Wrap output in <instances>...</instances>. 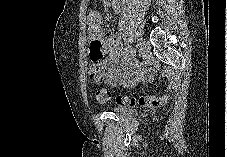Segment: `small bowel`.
Returning a JSON list of instances; mask_svg holds the SVG:
<instances>
[{"mask_svg": "<svg viewBox=\"0 0 227 157\" xmlns=\"http://www.w3.org/2000/svg\"><path fill=\"white\" fill-rule=\"evenodd\" d=\"M108 3L115 10L119 9V0H108ZM87 23L91 40L88 57L92 58V62H101V58H104L100 63L102 73L97 77H92L95 82H104L109 86L118 87L133 85L139 80L150 78L151 71L139 68L129 48L121 49L116 38L104 36L99 11H91L87 17Z\"/></svg>", "mask_w": 227, "mask_h": 157, "instance_id": "c3829d8e", "label": "small bowel"}]
</instances>
